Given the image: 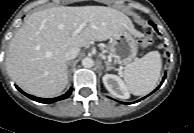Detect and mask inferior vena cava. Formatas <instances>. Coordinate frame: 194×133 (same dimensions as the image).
Returning <instances> with one entry per match:
<instances>
[{"mask_svg":"<svg viewBox=\"0 0 194 133\" xmlns=\"http://www.w3.org/2000/svg\"><path fill=\"white\" fill-rule=\"evenodd\" d=\"M80 49L78 47H70L66 52H65V59L66 60H71L77 57Z\"/></svg>","mask_w":194,"mask_h":133,"instance_id":"obj_1","label":"inferior vena cava"}]
</instances>
